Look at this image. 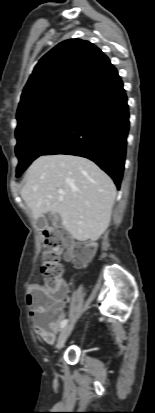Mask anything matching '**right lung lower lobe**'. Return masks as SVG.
I'll return each mask as SVG.
<instances>
[{
    "instance_id": "98d812e1",
    "label": "right lung lower lobe",
    "mask_w": 155,
    "mask_h": 413,
    "mask_svg": "<svg viewBox=\"0 0 155 413\" xmlns=\"http://www.w3.org/2000/svg\"><path fill=\"white\" fill-rule=\"evenodd\" d=\"M128 131L127 96L117 74L77 104L64 131L42 155L88 158L103 169L119 189Z\"/></svg>"
}]
</instances>
